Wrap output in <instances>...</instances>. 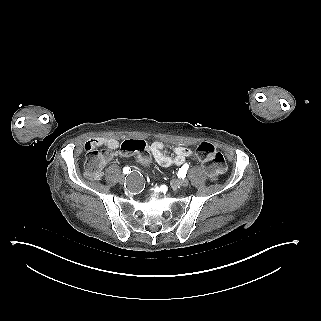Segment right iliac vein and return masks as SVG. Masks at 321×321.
<instances>
[{
	"label": "right iliac vein",
	"mask_w": 321,
	"mask_h": 321,
	"mask_svg": "<svg viewBox=\"0 0 321 321\" xmlns=\"http://www.w3.org/2000/svg\"><path fill=\"white\" fill-rule=\"evenodd\" d=\"M124 181H125V177H124L123 175H120V176H119V183H120V184H123Z\"/></svg>",
	"instance_id": "1"
}]
</instances>
